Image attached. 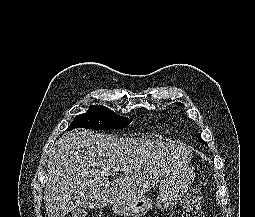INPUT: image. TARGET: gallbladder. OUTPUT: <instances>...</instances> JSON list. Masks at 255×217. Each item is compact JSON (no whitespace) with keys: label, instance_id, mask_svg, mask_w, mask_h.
Here are the masks:
<instances>
[{"label":"gallbladder","instance_id":"1","mask_svg":"<svg viewBox=\"0 0 255 217\" xmlns=\"http://www.w3.org/2000/svg\"><path fill=\"white\" fill-rule=\"evenodd\" d=\"M73 217H85L86 216V211L84 208H76L71 212Z\"/></svg>","mask_w":255,"mask_h":217}]
</instances>
